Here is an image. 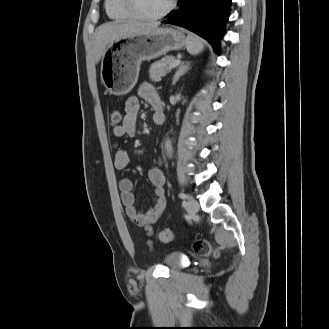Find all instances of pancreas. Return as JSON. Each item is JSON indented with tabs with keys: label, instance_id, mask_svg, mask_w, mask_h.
I'll return each instance as SVG.
<instances>
[{
	"label": "pancreas",
	"instance_id": "pancreas-1",
	"mask_svg": "<svg viewBox=\"0 0 329 329\" xmlns=\"http://www.w3.org/2000/svg\"><path fill=\"white\" fill-rule=\"evenodd\" d=\"M175 61V57L167 56L159 61L151 64L149 75L150 79L155 82H159L166 73L170 72L171 64Z\"/></svg>",
	"mask_w": 329,
	"mask_h": 329
}]
</instances>
